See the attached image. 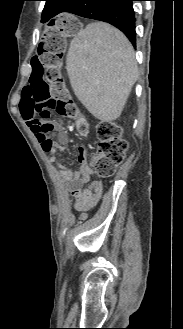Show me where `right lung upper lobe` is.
<instances>
[{"mask_svg":"<svg viewBox=\"0 0 183 329\" xmlns=\"http://www.w3.org/2000/svg\"><path fill=\"white\" fill-rule=\"evenodd\" d=\"M46 4L42 13V22H47L48 20H50L52 17H54L55 14V9L54 6L56 5V3L58 1H62V0H45Z\"/></svg>","mask_w":183,"mask_h":329,"instance_id":"right-lung-upper-lobe-1","label":"right lung upper lobe"}]
</instances>
